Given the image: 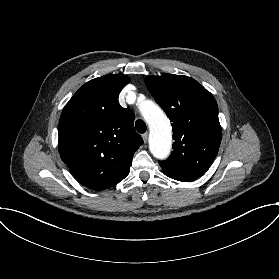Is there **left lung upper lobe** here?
<instances>
[{
    "mask_svg": "<svg viewBox=\"0 0 279 279\" xmlns=\"http://www.w3.org/2000/svg\"><path fill=\"white\" fill-rule=\"evenodd\" d=\"M145 83L173 122V152L160 161L164 172L190 182L213 163L221 142L218 106L196 80L173 74L147 76Z\"/></svg>",
    "mask_w": 279,
    "mask_h": 279,
    "instance_id": "left-lung-upper-lobe-1",
    "label": "left lung upper lobe"
}]
</instances>
